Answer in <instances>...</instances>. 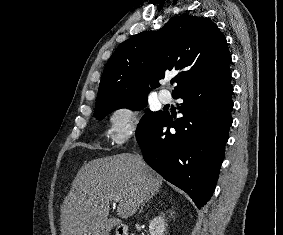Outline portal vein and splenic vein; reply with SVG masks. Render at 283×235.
I'll use <instances>...</instances> for the list:
<instances>
[{
  "instance_id": "1",
  "label": "portal vein and splenic vein",
  "mask_w": 283,
  "mask_h": 235,
  "mask_svg": "<svg viewBox=\"0 0 283 235\" xmlns=\"http://www.w3.org/2000/svg\"><path fill=\"white\" fill-rule=\"evenodd\" d=\"M119 197L118 196H113V200L115 201V202H119Z\"/></svg>"
}]
</instances>
